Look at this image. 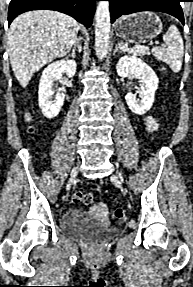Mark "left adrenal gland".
I'll use <instances>...</instances> for the list:
<instances>
[{
    "label": "left adrenal gland",
    "instance_id": "obj_1",
    "mask_svg": "<svg viewBox=\"0 0 193 287\" xmlns=\"http://www.w3.org/2000/svg\"><path fill=\"white\" fill-rule=\"evenodd\" d=\"M117 51H120V49H119L118 46L116 45L115 48H114L113 54L115 55V53H116Z\"/></svg>",
    "mask_w": 193,
    "mask_h": 287
}]
</instances>
